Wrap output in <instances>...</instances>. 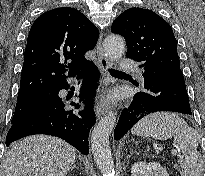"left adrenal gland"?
<instances>
[{"mask_svg": "<svg viewBox=\"0 0 205 176\" xmlns=\"http://www.w3.org/2000/svg\"><path fill=\"white\" fill-rule=\"evenodd\" d=\"M135 152L133 151V149H130L129 155L127 156V159H129Z\"/></svg>", "mask_w": 205, "mask_h": 176, "instance_id": "obj_1", "label": "left adrenal gland"}]
</instances>
